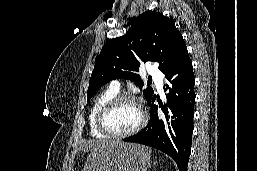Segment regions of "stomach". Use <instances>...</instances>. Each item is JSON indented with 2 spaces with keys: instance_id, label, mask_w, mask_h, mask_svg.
<instances>
[{
  "instance_id": "stomach-1",
  "label": "stomach",
  "mask_w": 257,
  "mask_h": 171,
  "mask_svg": "<svg viewBox=\"0 0 257 171\" xmlns=\"http://www.w3.org/2000/svg\"><path fill=\"white\" fill-rule=\"evenodd\" d=\"M150 157L144 146L116 141L92 151L83 171H146Z\"/></svg>"
}]
</instances>
